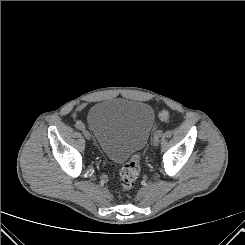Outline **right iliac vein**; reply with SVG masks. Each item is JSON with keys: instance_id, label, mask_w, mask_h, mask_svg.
Wrapping results in <instances>:
<instances>
[{"instance_id": "1", "label": "right iliac vein", "mask_w": 245, "mask_h": 245, "mask_svg": "<svg viewBox=\"0 0 245 245\" xmlns=\"http://www.w3.org/2000/svg\"><path fill=\"white\" fill-rule=\"evenodd\" d=\"M82 133H83V135L85 136V138H86L87 140H90V139H91V134H90V132H89L88 130L83 129V130H82Z\"/></svg>"}]
</instances>
